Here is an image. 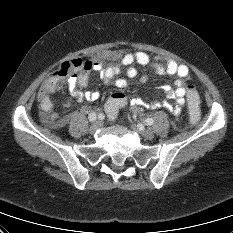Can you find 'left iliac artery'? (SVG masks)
<instances>
[{"label":"left iliac artery","mask_w":233,"mask_h":233,"mask_svg":"<svg viewBox=\"0 0 233 233\" xmlns=\"http://www.w3.org/2000/svg\"><path fill=\"white\" fill-rule=\"evenodd\" d=\"M153 122H154V120L152 119V118H147V119H145V123H146V125H152L153 124Z\"/></svg>","instance_id":"1"}]
</instances>
